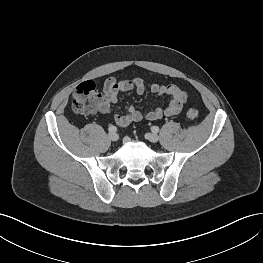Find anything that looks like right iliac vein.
<instances>
[{"instance_id": "right-iliac-vein-1", "label": "right iliac vein", "mask_w": 263, "mask_h": 263, "mask_svg": "<svg viewBox=\"0 0 263 263\" xmlns=\"http://www.w3.org/2000/svg\"><path fill=\"white\" fill-rule=\"evenodd\" d=\"M108 137L111 141H117L119 139L118 134H116L115 132H110L108 134Z\"/></svg>"}]
</instances>
